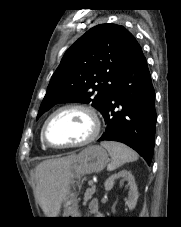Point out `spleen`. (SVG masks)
I'll list each match as a JSON object with an SVG mask.
<instances>
[{"mask_svg": "<svg viewBox=\"0 0 181 227\" xmlns=\"http://www.w3.org/2000/svg\"><path fill=\"white\" fill-rule=\"evenodd\" d=\"M101 146L106 148L111 156V162L107 166L108 171H113L127 162L136 161L138 155L131 148L115 141L101 142Z\"/></svg>", "mask_w": 181, "mask_h": 227, "instance_id": "1", "label": "spleen"}]
</instances>
